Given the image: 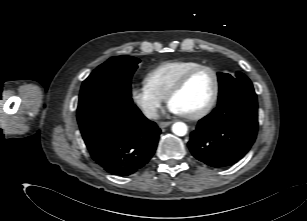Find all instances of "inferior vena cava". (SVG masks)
I'll return each mask as SVG.
<instances>
[{
  "instance_id": "1",
  "label": "inferior vena cava",
  "mask_w": 307,
  "mask_h": 221,
  "mask_svg": "<svg viewBox=\"0 0 307 221\" xmlns=\"http://www.w3.org/2000/svg\"><path fill=\"white\" fill-rule=\"evenodd\" d=\"M145 115H146L147 118H150V119H157L158 116H159L156 108H154V107L147 109L145 111Z\"/></svg>"
}]
</instances>
